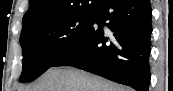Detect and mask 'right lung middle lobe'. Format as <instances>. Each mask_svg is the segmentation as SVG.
Masks as SVG:
<instances>
[{
	"mask_svg": "<svg viewBox=\"0 0 173 91\" xmlns=\"http://www.w3.org/2000/svg\"><path fill=\"white\" fill-rule=\"evenodd\" d=\"M94 9L67 14L22 29L23 70L20 82L39 77L86 33Z\"/></svg>",
	"mask_w": 173,
	"mask_h": 91,
	"instance_id": "1",
	"label": "right lung middle lobe"
}]
</instances>
